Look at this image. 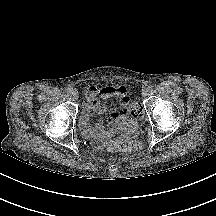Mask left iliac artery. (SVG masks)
Wrapping results in <instances>:
<instances>
[{"label":"left iliac artery","instance_id":"44dca946","mask_svg":"<svg viewBox=\"0 0 216 216\" xmlns=\"http://www.w3.org/2000/svg\"><path fill=\"white\" fill-rule=\"evenodd\" d=\"M148 90H149V91H153V90H154V86H153V85L149 86V87H148Z\"/></svg>","mask_w":216,"mask_h":216}]
</instances>
